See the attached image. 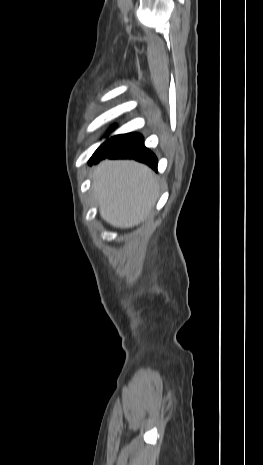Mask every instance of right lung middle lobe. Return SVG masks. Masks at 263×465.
Masks as SVG:
<instances>
[{"instance_id":"1","label":"right lung middle lobe","mask_w":263,"mask_h":465,"mask_svg":"<svg viewBox=\"0 0 263 465\" xmlns=\"http://www.w3.org/2000/svg\"><path fill=\"white\" fill-rule=\"evenodd\" d=\"M97 151H98V150H97ZM97 151H96V152H97ZM96 152H95V153H96ZM95 153L93 154V156L95 155ZM93 156H92V157H93ZM92 157H91V158H92Z\"/></svg>"}]
</instances>
